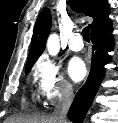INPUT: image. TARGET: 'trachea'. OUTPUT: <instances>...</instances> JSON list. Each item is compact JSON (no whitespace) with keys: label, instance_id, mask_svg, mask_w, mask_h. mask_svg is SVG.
Instances as JSON below:
<instances>
[{"label":"trachea","instance_id":"1","mask_svg":"<svg viewBox=\"0 0 118 123\" xmlns=\"http://www.w3.org/2000/svg\"><path fill=\"white\" fill-rule=\"evenodd\" d=\"M89 33H90V26L85 27L81 32L83 39L87 42L90 41Z\"/></svg>","mask_w":118,"mask_h":123}]
</instances>
